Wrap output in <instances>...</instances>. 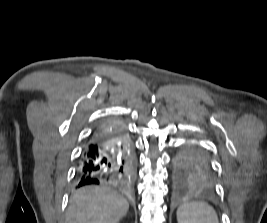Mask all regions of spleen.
Instances as JSON below:
<instances>
[{
    "label": "spleen",
    "mask_w": 267,
    "mask_h": 223,
    "mask_svg": "<svg viewBox=\"0 0 267 223\" xmlns=\"http://www.w3.org/2000/svg\"><path fill=\"white\" fill-rule=\"evenodd\" d=\"M178 223H219L215 210L204 202H191L177 210Z\"/></svg>",
    "instance_id": "1"
}]
</instances>
